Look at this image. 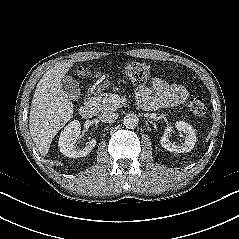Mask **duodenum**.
I'll return each mask as SVG.
<instances>
[{
	"instance_id": "duodenum-1",
	"label": "duodenum",
	"mask_w": 239,
	"mask_h": 239,
	"mask_svg": "<svg viewBox=\"0 0 239 239\" xmlns=\"http://www.w3.org/2000/svg\"><path fill=\"white\" fill-rule=\"evenodd\" d=\"M96 101L93 96H88L84 105L80 108V115L85 119H90L95 115Z\"/></svg>"
}]
</instances>
